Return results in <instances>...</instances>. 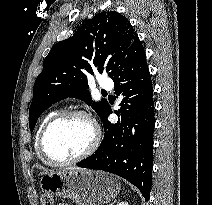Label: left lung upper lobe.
Returning <instances> with one entry per match:
<instances>
[{
	"label": "left lung upper lobe",
	"instance_id": "obj_1",
	"mask_svg": "<svg viewBox=\"0 0 212 205\" xmlns=\"http://www.w3.org/2000/svg\"><path fill=\"white\" fill-rule=\"evenodd\" d=\"M137 37L128 19L111 11L98 13L72 37L56 43L34 84L29 110L31 131L43 111L67 97L92 105L102 118L109 103L106 99L92 102L87 77L107 71L112 78Z\"/></svg>",
	"mask_w": 212,
	"mask_h": 205
}]
</instances>
